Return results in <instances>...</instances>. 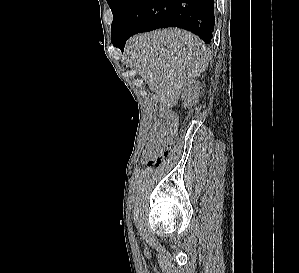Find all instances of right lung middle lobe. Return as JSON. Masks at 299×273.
I'll return each mask as SVG.
<instances>
[{
	"label": "right lung middle lobe",
	"instance_id": "dd1d6c3e",
	"mask_svg": "<svg viewBox=\"0 0 299 273\" xmlns=\"http://www.w3.org/2000/svg\"><path fill=\"white\" fill-rule=\"evenodd\" d=\"M134 0H107L113 13V22L111 25V41L115 39L117 33L123 24L130 7Z\"/></svg>",
	"mask_w": 299,
	"mask_h": 273
}]
</instances>
